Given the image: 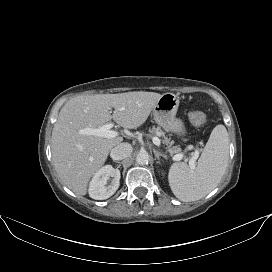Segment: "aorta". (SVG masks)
I'll return each mask as SVG.
<instances>
[{
  "label": "aorta",
  "instance_id": "1",
  "mask_svg": "<svg viewBox=\"0 0 272 272\" xmlns=\"http://www.w3.org/2000/svg\"><path fill=\"white\" fill-rule=\"evenodd\" d=\"M149 154L146 151H141L136 156V162L139 165H145L149 162Z\"/></svg>",
  "mask_w": 272,
  "mask_h": 272
}]
</instances>
